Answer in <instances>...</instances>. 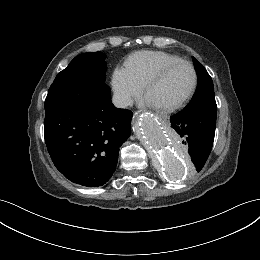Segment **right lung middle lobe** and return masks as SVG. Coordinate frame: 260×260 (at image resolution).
<instances>
[{
  "label": "right lung middle lobe",
  "mask_w": 260,
  "mask_h": 260,
  "mask_svg": "<svg viewBox=\"0 0 260 260\" xmlns=\"http://www.w3.org/2000/svg\"><path fill=\"white\" fill-rule=\"evenodd\" d=\"M101 52L82 53L62 70L49 88L46 100L70 94H85L104 83L106 63Z\"/></svg>",
  "instance_id": "dd1d6c3e"
}]
</instances>
